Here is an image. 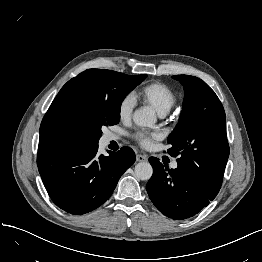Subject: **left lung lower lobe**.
Masks as SVG:
<instances>
[{"mask_svg": "<svg viewBox=\"0 0 262 262\" xmlns=\"http://www.w3.org/2000/svg\"><path fill=\"white\" fill-rule=\"evenodd\" d=\"M153 175L146 185L149 198L165 216L184 220L198 214L216 196L205 192L187 173L180 168L169 169L150 157Z\"/></svg>", "mask_w": 262, "mask_h": 262, "instance_id": "0a47b994", "label": "left lung lower lobe"}]
</instances>
